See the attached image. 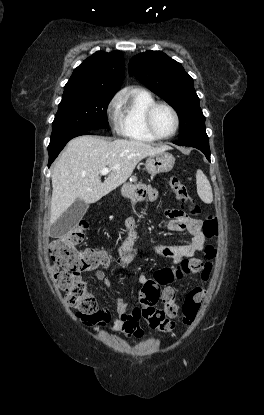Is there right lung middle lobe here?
Returning a JSON list of instances; mask_svg holds the SVG:
<instances>
[{"label":"right lung middle lobe","instance_id":"obj_1","mask_svg":"<svg viewBox=\"0 0 264 415\" xmlns=\"http://www.w3.org/2000/svg\"><path fill=\"white\" fill-rule=\"evenodd\" d=\"M113 94L63 96L52 123L48 149L92 130L107 128V106Z\"/></svg>","mask_w":264,"mask_h":415}]
</instances>
